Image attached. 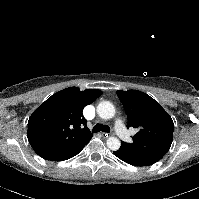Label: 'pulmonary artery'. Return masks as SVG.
<instances>
[{
	"label": "pulmonary artery",
	"instance_id": "obj_1",
	"mask_svg": "<svg viewBox=\"0 0 199 199\" xmlns=\"http://www.w3.org/2000/svg\"><path fill=\"white\" fill-rule=\"evenodd\" d=\"M114 130L116 134L124 141H127L130 139V134L126 127L124 126L123 122L118 120L115 123Z\"/></svg>",
	"mask_w": 199,
	"mask_h": 199
}]
</instances>
